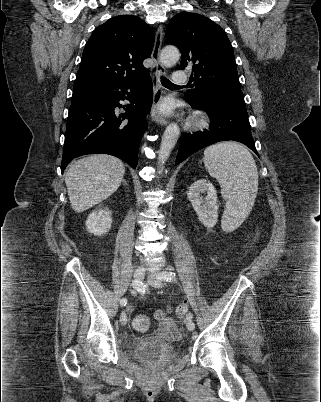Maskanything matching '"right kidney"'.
Returning a JSON list of instances; mask_svg holds the SVG:
<instances>
[{
    "instance_id": "ca27d5eb",
    "label": "right kidney",
    "mask_w": 321,
    "mask_h": 402,
    "mask_svg": "<svg viewBox=\"0 0 321 402\" xmlns=\"http://www.w3.org/2000/svg\"><path fill=\"white\" fill-rule=\"evenodd\" d=\"M111 212L107 209L95 210L86 220V228L89 233L101 236L111 228Z\"/></svg>"
}]
</instances>
